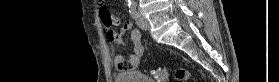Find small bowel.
Returning <instances> with one entry per match:
<instances>
[{
	"label": "small bowel",
	"instance_id": "small-bowel-1",
	"mask_svg": "<svg viewBox=\"0 0 279 82\" xmlns=\"http://www.w3.org/2000/svg\"><path fill=\"white\" fill-rule=\"evenodd\" d=\"M115 26H120V31H116L113 29H107L106 35L107 38L115 43L122 42V34L126 31L131 30V40L133 43V52L129 55L128 58H125L121 54H116L114 56V64L119 71H132L137 68L141 62V59L144 54V48L141 43L140 32L136 29H132V22L125 21L121 23L119 20L114 21Z\"/></svg>",
	"mask_w": 279,
	"mask_h": 82
}]
</instances>
